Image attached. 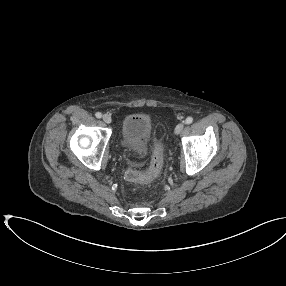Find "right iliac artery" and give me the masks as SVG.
Here are the masks:
<instances>
[{
	"mask_svg": "<svg viewBox=\"0 0 286 286\" xmlns=\"http://www.w3.org/2000/svg\"><path fill=\"white\" fill-rule=\"evenodd\" d=\"M95 116H96L97 118H101V117H102V114H101L100 112H97V113L95 114Z\"/></svg>",
	"mask_w": 286,
	"mask_h": 286,
	"instance_id": "1",
	"label": "right iliac artery"
}]
</instances>
